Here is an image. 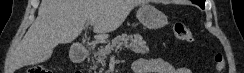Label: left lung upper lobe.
<instances>
[{
	"mask_svg": "<svg viewBox=\"0 0 244 73\" xmlns=\"http://www.w3.org/2000/svg\"><path fill=\"white\" fill-rule=\"evenodd\" d=\"M192 2L204 8L205 0H192Z\"/></svg>",
	"mask_w": 244,
	"mask_h": 73,
	"instance_id": "left-lung-upper-lobe-1",
	"label": "left lung upper lobe"
}]
</instances>
